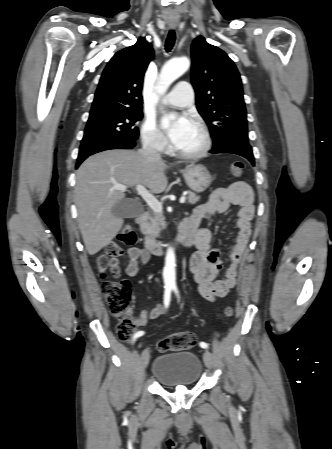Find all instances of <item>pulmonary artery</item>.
<instances>
[{"label":"pulmonary artery","mask_w":332,"mask_h":449,"mask_svg":"<svg viewBox=\"0 0 332 449\" xmlns=\"http://www.w3.org/2000/svg\"><path fill=\"white\" fill-rule=\"evenodd\" d=\"M194 91L187 81L178 82L163 102L174 107H186L193 102Z\"/></svg>","instance_id":"obj_1"}]
</instances>
